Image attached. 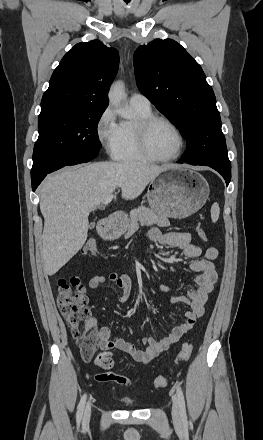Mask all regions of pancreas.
<instances>
[{
  "label": "pancreas",
  "instance_id": "pancreas-1",
  "mask_svg": "<svg viewBox=\"0 0 263 440\" xmlns=\"http://www.w3.org/2000/svg\"><path fill=\"white\" fill-rule=\"evenodd\" d=\"M139 223L142 226H152L153 224H157L160 227H165L170 225V222L166 217L156 214L147 207L140 206L130 212V219L126 224V238L135 233L139 227Z\"/></svg>",
  "mask_w": 263,
  "mask_h": 440
}]
</instances>
